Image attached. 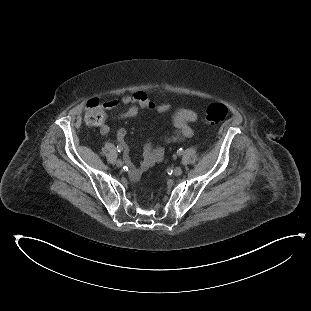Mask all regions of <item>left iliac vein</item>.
Returning a JSON list of instances; mask_svg holds the SVG:
<instances>
[{
	"label": "left iliac vein",
	"instance_id": "4c4485c4",
	"mask_svg": "<svg viewBox=\"0 0 311 311\" xmlns=\"http://www.w3.org/2000/svg\"><path fill=\"white\" fill-rule=\"evenodd\" d=\"M182 169L181 167H176L174 170H173V173L175 176H180L182 174Z\"/></svg>",
	"mask_w": 311,
	"mask_h": 311
}]
</instances>
